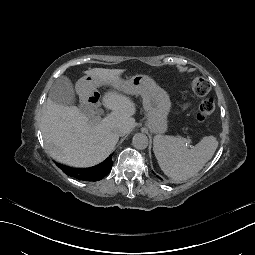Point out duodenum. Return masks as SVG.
Returning a JSON list of instances; mask_svg holds the SVG:
<instances>
[{"instance_id": "obj_1", "label": "duodenum", "mask_w": 255, "mask_h": 255, "mask_svg": "<svg viewBox=\"0 0 255 255\" xmlns=\"http://www.w3.org/2000/svg\"><path fill=\"white\" fill-rule=\"evenodd\" d=\"M79 95L84 105L90 110H98L100 108L101 96L88 82H83L78 88Z\"/></svg>"}]
</instances>
